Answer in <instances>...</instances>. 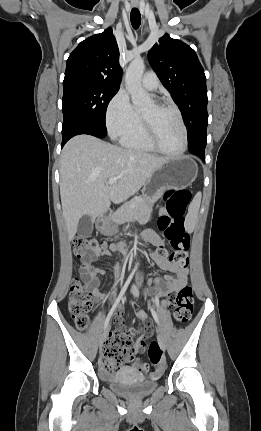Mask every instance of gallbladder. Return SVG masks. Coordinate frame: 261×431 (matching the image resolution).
Wrapping results in <instances>:
<instances>
[{"instance_id":"gallbladder-1","label":"gallbladder","mask_w":261,"mask_h":431,"mask_svg":"<svg viewBox=\"0 0 261 431\" xmlns=\"http://www.w3.org/2000/svg\"><path fill=\"white\" fill-rule=\"evenodd\" d=\"M93 220L90 216H83L78 223L77 233L81 237H88L93 231Z\"/></svg>"}]
</instances>
